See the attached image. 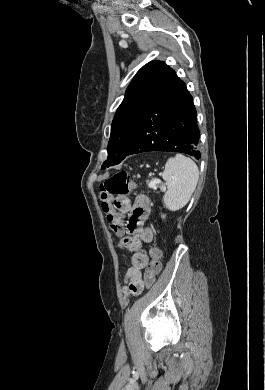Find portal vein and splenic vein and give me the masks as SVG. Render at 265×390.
Segmentation results:
<instances>
[{
    "instance_id": "18ae733b",
    "label": "portal vein and splenic vein",
    "mask_w": 265,
    "mask_h": 390,
    "mask_svg": "<svg viewBox=\"0 0 265 390\" xmlns=\"http://www.w3.org/2000/svg\"><path fill=\"white\" fill-rule=\"evenodd\" d=\"M161 181H151L150 182V184H149V186L151 187V188H156V184L157 183H160ZM163 190H165V188H163Z\"/></svg>"
}]
</instances>
